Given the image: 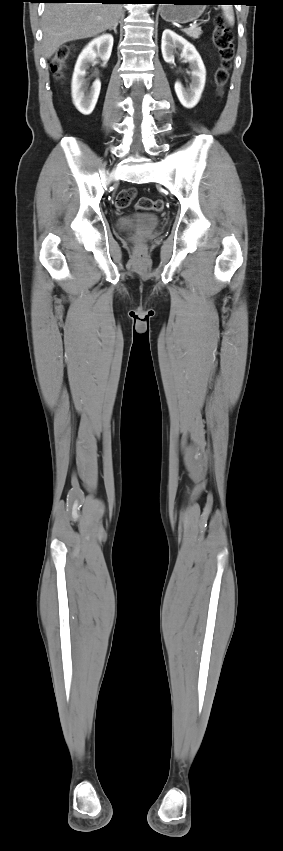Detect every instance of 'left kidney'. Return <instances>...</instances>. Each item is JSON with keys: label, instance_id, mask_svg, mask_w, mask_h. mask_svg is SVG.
<instances>
[{"label": "left kidney", "instance_id": "5707ae66", "mask_svg": "<svg viewBox=\"0 0 283 851\" xmlns=\"http://www.w3.org/2000/svg\"><path fill=\"white\" fill-rule=\"evenodd\" d=\"M176 49L180 52L181 58L189 63L191 83L189 87L185 88L177 81L174 88L181 104L191 109L200 100L206 81V69L201 56L191 43L170 29L164 30L161 40V51L165 62L172 63L174 61Z\"/></svg>", "mask_w": 283, "mask_h": 851}]
</instances>
